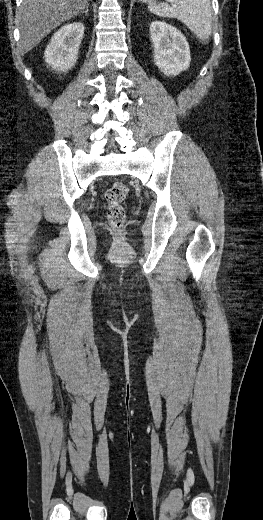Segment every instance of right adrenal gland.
<instances>
[{
    "label": "right adrenal gland",
    "instance_id": "1",
    "mask_svg": "<svg viewBox=\"0 0 263 520\" xmlns=\"http://www.w3.org/2000/svg\"><path fill=\"white\" fill-rule=\"evenodd\" d=\"M83 13L85 14V16L88 15V7L86 8V10Z\"/></svg>",
    "mask_w": 263,
    "mask_h": 520
}]
</instances>
